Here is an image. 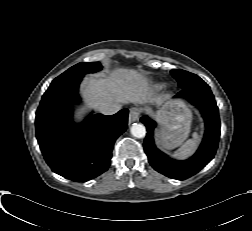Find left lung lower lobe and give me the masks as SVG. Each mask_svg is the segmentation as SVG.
Returning a JSON list of instances; mask_svg holds the SVG:
<instances>
[{"label": "left lung lower lobe", "mask_w": 252, "mask_h": 231, "mask_svg": "<svg viewBox=\"0 0 252 231\" xmlns=\"http://www.w3.org/2000/svg\"><path fill=\"white\" fill-rule=\"evenodd\" d=\"M176 97H184L190 103L198 106L206 124L203 141L190 159L177 161L159 151L153 138V130L156 127L155 121L148 116H143L141 122L146 125L148 131L143 145L149 163L156 171L165 176L182 180L199 172L213 159L220 137V120L218 107L208 85L184 88Z\"/></svg>", "instance_id": "1"}]
</instances>
